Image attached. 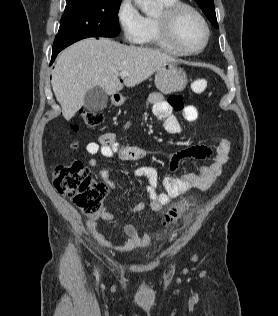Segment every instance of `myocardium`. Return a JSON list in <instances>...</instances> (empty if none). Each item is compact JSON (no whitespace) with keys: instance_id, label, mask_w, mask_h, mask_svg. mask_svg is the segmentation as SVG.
Segmentation results:
<instances>
[{"instance_id":"myocardium-1","label":"myocardium","mask_w":278,"mask_h":316,"mask_svg":"<svg viewBox=\"0 0 278 316\" xmlns=\"http://www.w3.org/2000/svg\"><path fill=\"white\" fill-rule=\"evenodd\" d=\"M184 11H190L193 13L200 20L204 27L205 39L203 44L198 49H188L179 40L177 34V21L181 13ZM158 23L163 37L181 54L197 55L207 47L210 41L211 30L206 18L198 8L189 3L178 1L174 5L163 9L161 14L158 16Z\"/></svg>"}]
</instances>
